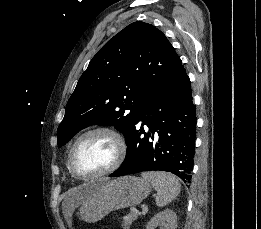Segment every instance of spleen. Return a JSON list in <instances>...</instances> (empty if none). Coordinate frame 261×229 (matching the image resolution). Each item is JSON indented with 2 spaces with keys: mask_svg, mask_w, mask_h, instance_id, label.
<instances>
[{
  "mask_svg": "<svg viewBox=\"0 0 261 229\" xmlns=\"http://www.w3.org/2000/svg\"><path fill=\"white\" fill-rule=\"evenodd\" d=\"M141 177H143L145 181L152 183L155 191H157L155 201L157 207L169 205L181 191V185L177 177H174L172 173H165V171H149V173H142Z\"/></svg>",
  "mask_w": 261,
  "mask_h": 229,
  "instance_id": "obj_1",
  "label": "spleen"
}]
</instances>
